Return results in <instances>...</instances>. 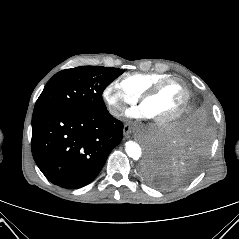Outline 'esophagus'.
<instances>
[{
  "label": "esophagus",
  "instance_id": "1",
  "mask_svg": "<svg viewBox=\"0 0 239 239\" xmlns=\"http://www.w3.org/2000/svg\"><path fill=\"white\" fill-rule=\"evenodd\" d=\"M123 133H124V136L126 138L129 137L130 133H131V127L129 125H124V128H123Z\"/></svg>",
  "mask_w": 239,
  "mask_h": 239
}]
</instances>
